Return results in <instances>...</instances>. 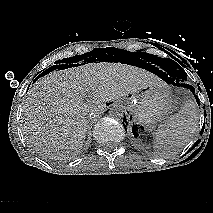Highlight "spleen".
I'll return each instance as SVG.
<instances>
[{
  "label": "spleen",
  "mask_w": 213,
  "mask_h": 213,
  "mask_svg": "<svg viewBox=\"0 0 213 213\" xmlns=\"http://www.w3.org/2000/svg\"><path fill=\"white\" fill-rule=\"evenodd\" d=\"M198 128V109L194 99L186 101L178 113L167 117L155 132L154 148L166 153L185 147Z\"/></svg>",
  "instance_id": "3e777b00"
}]
</instances>
